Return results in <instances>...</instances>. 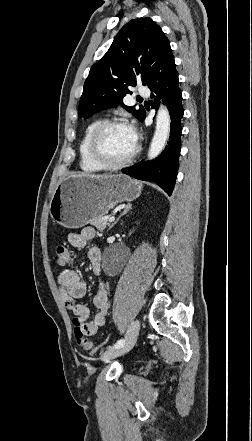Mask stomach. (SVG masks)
I'll return each mask as SVG.
<instances>
[{
	"label": "stomach",
	"mask_w": 252,
	"mask_h": 441,
	"mask_svg": "<svg viewBox=\"0 0 252 441\" xmlns=\"http://www.w3.org/2000/svg\"><path fill=\"white\" fill-rule=\"evenodd\" d=\"M141 191V182L123 174L71 176L55 189L49 211L58 224L79 228L103 217L118 203L138 198Z\"/></svg>",
	"instance_id": "obj_1"
}]
</instances>
